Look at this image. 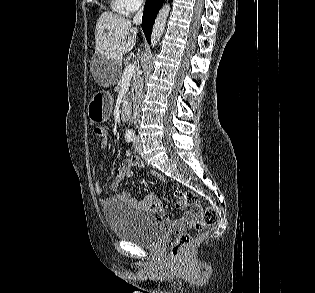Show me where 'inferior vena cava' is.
I'll return each instance as SVG.
<instances>
[{
    "mask_svg": "<svg viewBox=\"0 0 315 293\" xmlns=\"http://www.w3.org/2000/svg\"><path fill=\"white\" fill-rule=\"evenodd\" d=\"M143 16V7H141L138 12L135 14L133 18V23L136 25H140ZM134 89H135V96L133 99V118L134 124H137L139 119V112H140V105L143 98V79L141 77H137L134 81Z\"/></svg>",
    "mask_w": 315,
    "mask_h": 293,
    "instance_id": "obj_1",
    "label": "inferior vena cava"
}]
</instances>
